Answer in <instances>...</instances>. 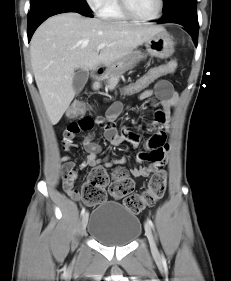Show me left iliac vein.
<instances>
[{"instance_id": "1", "label": "left iliac vein", "mask_w": 231, "mask_h": 281, "mask_svg": "<svg viewBox=\"0 0 231 281\" xmlns=\"http://www.w3.org/2000/svg\"><path fill=\"white\" fill-rule=\"evenodd\" d=\"M145 228V234L148 238L149 244H150V248L153 254H157L158 253V249L154 240V236L151 230V227L148 223H145L144 225Z\"/></svg>"}]
</instances>
